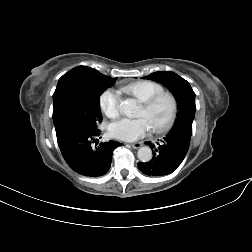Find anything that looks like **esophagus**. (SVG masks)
I'll return each instance as SVG.
<instances>
[{
  "label": "esophagus",
  "instance_id": "34e87169",
  "mask_svg": "<svg viewBox=\"0 0 252 252\" xmlns=\"http://www.w3.org/2000/svg\"><path fill=\"white\" fill-rule=\"evenodd\" d=\"M130 146L134 149H138L142 146V143L141 142H136V143H132L130 144Z\"/></svg>",
  "mask_w": 252,
  "mask_h": 252
}]
</instances>
